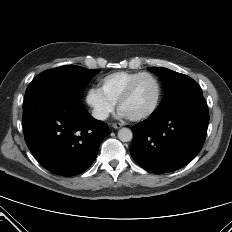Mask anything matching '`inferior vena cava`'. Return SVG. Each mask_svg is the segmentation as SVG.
<instances>
[{
	"label": "inferior vena cava",
	"mask_w": 232,
	"mask_h": 232,
	"mask_svg": "<svg viewBox=\"0 0 232 232\" xmlns=\"http://www.w3.org/2000/svg\"><path fill=\"white\" fill-rule=\"evenodd\" d=\"M92 116L98 120H105L108 118V113L99 109H94L92 111Z\"/></svg>",
	"instance_id": "602c4592"
}]
</instances>
